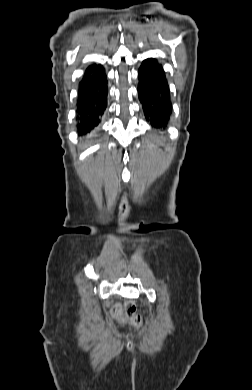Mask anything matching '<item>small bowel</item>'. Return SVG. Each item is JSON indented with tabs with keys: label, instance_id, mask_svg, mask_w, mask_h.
Here are the masks:
<instances>
[{
	"label": "small bowel",
	"instance_id": "obj_1",
	"mask_svg": "<svg viewBox=\"0 0 252 390\" xmlns=\"http://www.w3.org/2000/svg\"><path fill=\"white\" fill-rule=\"evenodd\" d=\"M112 317L115 318L119 323L123 324L125 322V318L122 312L121 304H116L112 308L111 311Z\"/></svg>",
	"mask_w": 252,
	"mask_h": 390
}]
</instances>
